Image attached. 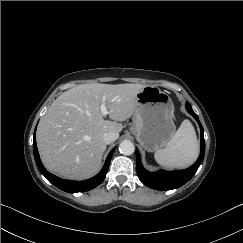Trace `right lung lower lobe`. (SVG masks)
Masks as SVG:
<instances>
[{"label": "right lung lower lobe", "mask_w": 243, "mask_h": 243, "mask_svg": "<svg viewBox=\"0 0 243 243\" xmlns=\"http://www.w3.org/2000/svg\"><path fill=\"white\" fill-rule=\"evenodd\" d=\"M35 131H36V129H35ZM113 151H114V149L107 156L106 162H105L102 170L93 178L88 179L86 181H81V182L72 181V180H64V179H61V178L49 173L44 168V166L42 165V162L40 160L39 153H38V150H37V146H36V139H35V132H34L33 153H34V158H35L36 164H37L40 172L54 186H56L57 188L65 191V192H68V193L88 191V190L95 188L99 184H101L102 181L104 180V178L106 177L107 172H108V168H109V165H110V161H111Z\"/></svg>", "instance_id": "1"}]
</instances>
